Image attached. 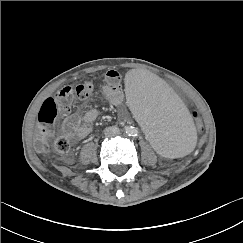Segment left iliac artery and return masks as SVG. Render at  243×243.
I'll return each mask as SVG.
<instances>
[{
	"instance_id": "1",
	"label": "left iliac artery",
	"mask_w": 243,
	"mask_h": 243,
	"mask_svg": "<svg viewBox=\"0 0 243 243\" xmlns=\"http://www.w3.org/2000/svg\"><path fill=\"white\" fill-rule=\"evenodd\" d=\"M137 133H138L137 130H133L134 136L137 135Z\"/></svg>"
}]
</instances>
